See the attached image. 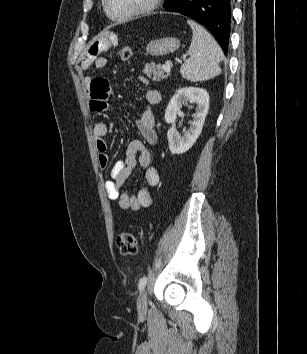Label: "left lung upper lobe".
Instances as JSON below:
<instances>
[{"label":"left lung upper lobe","instance_id":"obj_1","mask_svg":"<svg viewBox=\"0 0 307 354\" xmlns=\"http://www.w3.org/2000/svg\"><path fill=\"white\" fill-rule=\"evenodd\" d=\"M171 0H164V7H166Z\"/></svg>","mask_w":307,"mask_h":354}]
</instances>
